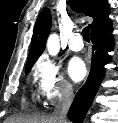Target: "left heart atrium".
Segmentation results:
<instances>
[{"label":"left heart atrium","instance_id":"left-heart-atrium-1","mask_svg":"<svg viewBox=\"0 0 118 123\" xmlns=\"http://www.w3.org/2000/svg\"><path fill=\"white\" fill-rule=\"evenodd\" d=\"M67 71L70 78L75 82L81 81L87 73L84 62L78 57H74L69 61Z\"/></svg>","mask_w":118,"mask_h":123}]
</instances>
